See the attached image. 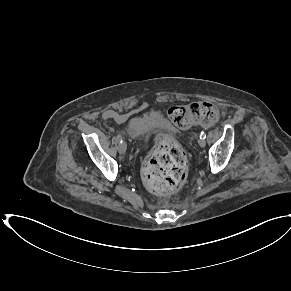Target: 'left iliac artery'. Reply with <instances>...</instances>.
<instances>
[{
  "label": "left iliac artery",
  "instance_id": "1",
  "mask_svg": "<svg viewBox=\"0 0 291 291\" xmlns=\"http://www.w3.org/2000/svg\"><path fill=\"white\" fill-rule=\"evenodd\" d=\"M201 138H203V139H205V138H206V133H205V132H203V131H202V132H201V134H200V139H201Z\"/></svg>",
  "mask_w": 291,
  "mask_h": 291
}]
</instances>
